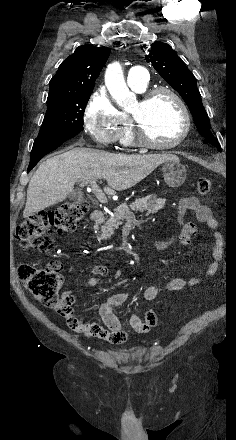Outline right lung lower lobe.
Masks as SVG:
<instances>
[{"instance_id":"obj_1","label":"right lung lower lobe","mask_w":236,"mask_h":440,"mask_svg":"<svg viewBox=\"0 0 236 440\" xmlns=\"http://www.w3.org/2000/svg\"><path fill=\"white\" fill-rule=\"evenodd\" d=\"M74 136L75 135H67L53 138L35 139L27 172H30V170L40 161L42 157L58 148L64 141Z\"/></svg>"}]
</instances>
